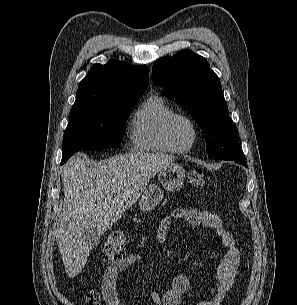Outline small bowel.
<instances>
[{
  "mask_svg": "<svg viewBox=\"0 0 297 305\" xmlns=\"http://www.w3.org/2000/svg\"><path fill=\"white\" fill-rule=\"evenodd\" d=\"M172 221L185 222L192 226H202L215 231L217 237L225 247V255L216 270V279L206 290L210 297L199 301L196 305H222L229 296L240 264V252L234 238L227 231L222 219L215 213L200 208H177L172 214L161 221L157 238L164 243L168 237ZM140 261L135 253L126 255L120 262L108 266L104 272L100 291H91L86 298V305H125L120 298L117 288L119 274ZM191 290L189 279L185 274H177L162 296L158 292L151 293L156 305H180L183 297Z\"/></svg>",
  "mask_w": 297,
  "mask_h": 305,
  "instance_id": "obj_1",
  "label": "small bowel"
}]
</instances>
